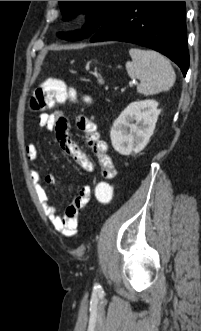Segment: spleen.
Segmentation results:
<instances>
[{"label":"spleen","instance_id":"3e777b00","mask_svg":"<svg viewBox=\"0 0 201 331\" xmlns=\"http://www.w3.org/2000/svg\"><path fill=\"white\" fill-rule=\"evenodd\" d=\"M129 54L132 61L126 63V70L131 78L140 80L137 85L139 93L152 95L172 88L176 75L172 65L163 55L139 48H131Z\"/></svg>","mask_w":201,"mask_h":331}]
</instances>
